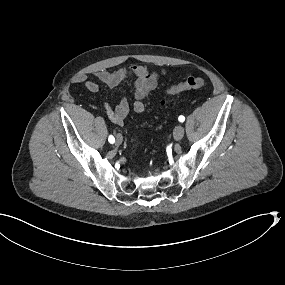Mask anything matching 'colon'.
Segmentation results:
<instances>
[{
  "label": "colon",
  "mask_w": 285,
  "mask_h": 285,
  "mask_svg": "<svg viewBox=\"0 0 285 285\" xmlns=\"http://www.w3.org/2000/svg\"><path fill=\"white\" fill-rule=\"evenodd\" d=\"M205 84L206 81L202 77H188L177 84L168 86L165 92L168 95H177L187 90L202 88Z\"/></svg>",
  "instance_id": "obj_1"
}]
</instances>
